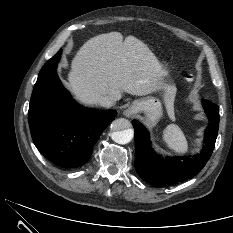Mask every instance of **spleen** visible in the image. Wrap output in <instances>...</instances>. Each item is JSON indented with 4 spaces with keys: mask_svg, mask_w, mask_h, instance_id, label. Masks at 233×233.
<instances>
[{
    "mask_svg": "<svg viewBox=\"0 0 233 233\" xmlns=\"http://www.w3.org/2000/svg\"><path fill=\"white\" fill-rule=\"evenodd\" d=\"M163 139L167 146L177 153H186L188 143L182 130L175 124L168 125L163 131Z\"/></svg>",
    "mask_w": 233,
    "mask_h": 233,
    "instance_id": "spleen-1",
    "label": "spleen"
}]
</instances>
